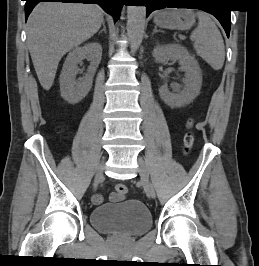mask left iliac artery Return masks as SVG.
<instances>
[{"instance_id": "44dca946", "label": "left iliac artery", "mask_w": 259, "mask_h": 266, "mask_svg": "<svg viewBox=\"0 0 259 266\" xmlns=\"http://www.w3.org/2000/svg\"><path fill=\"white\" fill-rule=\"evenodd\" d=\"M147 188H149V190H151V194L154 198L158 197V194H156L155 188H153V182H149V185H147Z\"/></svg>"}]
</instances>
